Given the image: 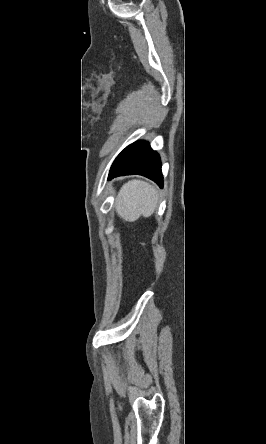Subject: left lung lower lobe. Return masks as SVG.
<instances>
[{
	"mask_svg": "<svg viewBox=\"0 0 266 444\" xmlns=\"http://www.w3.org/2000/svg\"><path fill=\"white\" fill-rule=\"evenodd\" d=\"M130 174L143 175L163 187L160 157L148 142L137 141L127 146L113 162L108 180Z\"/></svg>",
	"mask_w": 266,
	"mask_h": 444,
	"instance_id": "0a47b994",
	"label": "left lung lower lobe"
}]
</instances>
